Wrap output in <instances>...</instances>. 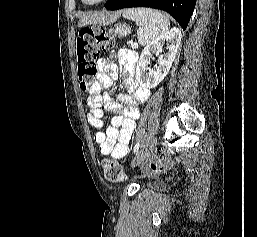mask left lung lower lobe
<instances>
[{"label": "left lung lower lobe", "instance_id": "obj_1", "mask_svg": "<svg viewBox=\"0 0 257 237\" xmlns=\"http://www.w3.org/2000/svg\"><path fill=\"white\" fill-rule=\"evenodd\" d=\"M196 0H110L107 10L131 7H150L168 12L185 30L195 8Z\"/></svg>", "mask_w": 257, "mask_h": 237}]
</instances>
